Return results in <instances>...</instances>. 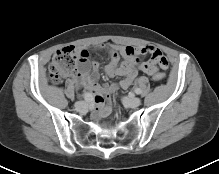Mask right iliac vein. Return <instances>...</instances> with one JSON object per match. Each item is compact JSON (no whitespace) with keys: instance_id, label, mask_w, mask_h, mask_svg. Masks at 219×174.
I'll return each mask as SVG.
<instances>
[{"instance_id":"right-iliac-vein-1","label":"right iliac vein","mask_w":219,"mask_h":174,"mask_svg":"<svg viewBox=\"0 0 219 174\" xmlns=\"http://www.w3.org/2000/svg\"><path fill=\"white\" fill-rule=\"evenodd\" d=\"M85 106H86V102H84V101H78L75 103V107L79 110L85 108Z\"/></svg>"}]
</instances>
